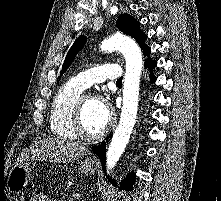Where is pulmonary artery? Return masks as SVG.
<instances>
[{"mask_svg": "<svg viewBox=\"0 0 221 201\" xmlns=\"http://www.w3.org/2000/svg\"><path fill=\"white\" fill-rule=\"evenodd\" d=\"M122 76V69L117 64H103L77 74L72 81L83 88H89L96 83H102L106 80L117 81Z\"/></svg>", "mask_w": 221, "mask_h": 201, "instance_id": "1", "label": "pulmonary artery"}]
</instances>
